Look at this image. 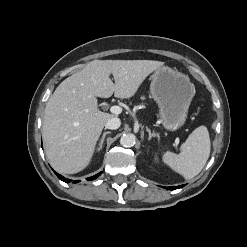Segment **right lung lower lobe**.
I'll return each mask as SVG.
<instances>
[{"label": "right lung lower lobe", "mask_w": 247, "mask_h": 247, "mask_svg": "<svg viewBox=\"0 0 247 247\" xmlns=\"http://www.w3.org/2000/svg\"><path fill=\"white\" fill-rule=\"evenodd\" d=\"M54 173L57 175V177H58L60 180L66 182V183L71 181V180H69V179L64 178V177L61 176L60 174L56 173L55 171H54ZM100 174H101V173L96 174V175H94V176H92V177H89V178H87V180H88V181H92V180L96 179ZM77 182H78V181H77Z\"/></svg>", "instance_id": "1"}]
</instances>
